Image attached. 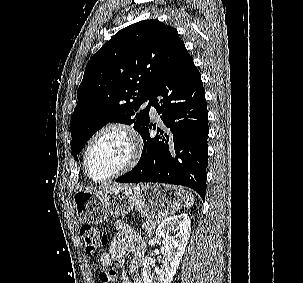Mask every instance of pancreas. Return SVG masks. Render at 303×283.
Listing matches in <instances>:
<instances>
[{"mask_svg": "<svg viewBox=\"0 0 303 283\" xmlns=\"http://www.w3.org/2000/svg\"><path fill=\"white\" fill-rule=\"evenodd\" d=\"M142 228L145 229V232L150 236L156 228V223L153 220H147L142 223Z\"/></svg>", "mask_w": 303, "mask_h": 283, "instance_id": "1", "label": "pancreas"}]
</instances>
